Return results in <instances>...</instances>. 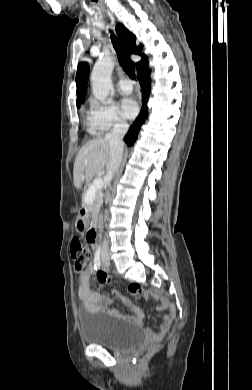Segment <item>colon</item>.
<instances>
[{
    "mask_svg": "<svg viewBox=\"0 0 252 390\" xmlns=\"http://www.w3.org/2000/svg\"><path fill=\"white\" fill-rule=\"evenodd\" d=\"M87 242L91 243L92 233L91 230L86 235ZM71 256L73 260L74 270L77 273L85 271L91 265V249L88 244L84 243L80 238L74 237L71 241ZM141 291V287L137 284H131L129 286V292L135 294ZM155 349L154 346L148 348L147 352H151Z\"/></svg>",
    "mask_w": 252,
    "mask_h": 390,
    "instance_id": "5ec220e1",
    "label": "colon"
}]
</instances>
